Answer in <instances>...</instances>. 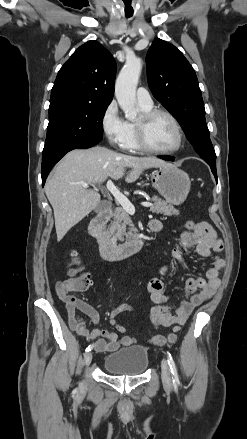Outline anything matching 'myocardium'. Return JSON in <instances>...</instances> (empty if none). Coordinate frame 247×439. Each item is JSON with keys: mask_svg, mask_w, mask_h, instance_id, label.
Masks as SVG:
<instances>
[{"mask_svg": "<svg viewBox=\"0 0 247 439\" xmlns=\"http://www.w3.org/2000/svg\"><path fill=\"white\" fill-rule=\"evenodd\" d=\"M163 115L168 117L177 132V142L174 147L170 149H156L153 148L147 140V127L149 122L156 116ZM135 130H136V138L138 145L143 151H146L148 153L152 154H158V155H170L177 151H179L184 143V131L183 128L179 122V120L168 110L165 109H150L147 111H144L142 115L140 116V119L135 123Z\"/></svg>", "mask_w": 247, "mask_h": 439, "instance_id": "obj_1", "label": "myocardium"}]
</instances>
